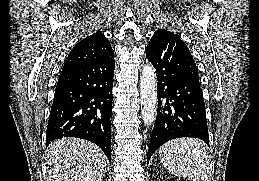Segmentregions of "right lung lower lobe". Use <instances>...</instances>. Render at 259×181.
Returning a JSON list of instances; mask_svg holds the SVG:
<instances>
[{
    "label": "right lung lower lobe",
    "mask_w": 259,
    "mask_h": 181,
    "mask_svg": "<svg viewBox=\"0 0 259 181\" xmlns=\"http://www.w3.org/2000/svg\"><path fill=\"white\" fill-rule=\"evenodd\" d=\"M113 53L61 71L46 145L62 137L83 138L98 145L111 162Z\"/></svg>",
    "instance_id": "98d812e1"
}]
</instances>
